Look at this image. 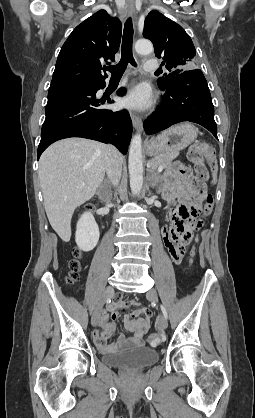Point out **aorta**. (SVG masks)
I'll return each instance as SVG.
<instances>
[{"instance_id":"obj_1","label":"aorta","mask_w":255,"mask_h":418,"mask_svg":"<svg viewBox=\"0 0 255 418\" xmlns=\"http://www.w3.org/2000/svg\"><path fill=\"white\" fill-rule=\"evenodd\" d=\"M135 50L139 54L147 55L153 51V45L149 40H138L135 43ZM128 167L130 188L132 194L136 196L143 185L142 139L139 133L132 137L130 143Z\"/></svg>"}]
</instances>
